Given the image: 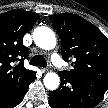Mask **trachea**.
Returning a JSON list of instances; mask_svg holds the SVG:
<instances>
[{
    "label": "trachea",
    "instance_id": "3493384b",
    "mask_svg": "<svg viewBox=\"0 0 108 108\" xmlns=\"http://www.w3.org/2000/svg\"><path fill=\"white\" fill-rule=\"evenodd\" d=\"M30 64L35 66H40V67L47 66V62L45 58L41 55H35L34 57H32L30 60Z\"/></svg>",
    "mask_w": 108,
    "mask_h": 108
}]
</instances>
